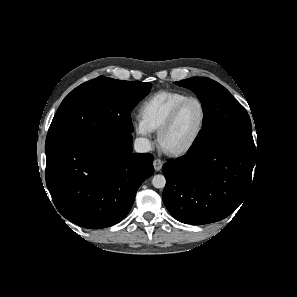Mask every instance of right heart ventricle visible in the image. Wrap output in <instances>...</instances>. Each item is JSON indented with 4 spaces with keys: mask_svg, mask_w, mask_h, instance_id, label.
Here are the masks:
<instances>
[{
    "mask_svg": "<svg viewBox=\"0 0 297 297\" xmlns=\"http://www.w3.org/2000/svg\"><path fill=\"white\" fill-rule=\"evenodd\" d=\"M188 97L190 96L179 91H159L141 105L140 120L149 131H158L172 110Z\"/></svg>",
    "mask_w": 297,
    "mask_h": 297,
    "instance_id": "right-heart-ventricle-1",
    "label": "right heart ventricle"
}]
</instances>
